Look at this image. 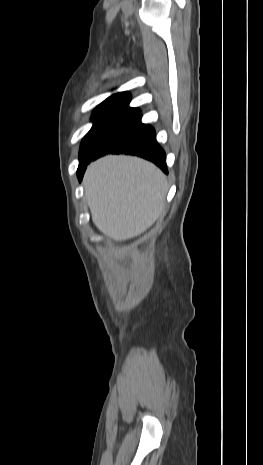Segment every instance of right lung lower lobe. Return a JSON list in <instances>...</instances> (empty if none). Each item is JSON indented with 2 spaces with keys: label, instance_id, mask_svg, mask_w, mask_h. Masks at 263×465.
<instances>
[{
  "label": "right lung lower lobe",
  "instance_id": "obj_1",
  "mask_svg": "<svg viewBox=\"0 0 263 465\" xmlns=\"http://www.w3.org/2000/svg\"><path fill=\"white\" fill-rule=\"evenodd\" d=\"M131 154L154 162L167 173L166 156L155 139V130L141 123V112L133 109L104 139L96 154L78 167L81 181L87 164L106 154Z\"/></svg>",
  "mask_w": 263,
  "mask_h": 465
}]
</instances>
